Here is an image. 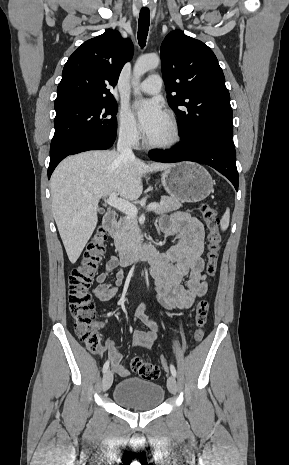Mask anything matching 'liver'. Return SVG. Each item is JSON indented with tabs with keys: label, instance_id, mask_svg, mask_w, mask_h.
Wrapping results in <instances>:
<instances>
[{
	"label": "liver",
	"instance_id": "obj_1",
	"mask_svg": "<svg viewBox=\"0 0 289 465\" xmlns=\"http://www.w3.org/2000/svg\"><path fill=\"white\" fill-rule=\"evenodd\" d=\"M173 164L150 163L116 151H87L64 159L51 177L52 213L67 256L74 264L98 223V202L112 193L136 200L142 177Z\"/></svg>",
	"mask_w": 289,
	"mask_h": 465
}]
</instances>
